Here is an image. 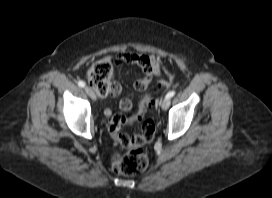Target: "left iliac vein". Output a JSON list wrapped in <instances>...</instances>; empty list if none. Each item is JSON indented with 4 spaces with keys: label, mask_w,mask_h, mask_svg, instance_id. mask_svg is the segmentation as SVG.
I'll list each match as a JSON object with an SVG mask.
<instances>
[{
    "label": "left iliac vein",
    "mask_w": 272,
    "mask_h": 198,
    "mask_svg": "<svg viewBox=\"0 0 272 198\" xmlns=\"http://www.w3.org/2000/svg\"><path fill=\"white\" fill-rule=\"evenodd\" d=\"M170 106V98H165L162 102H161V108L162 110H167Z\"/></svg>",
    "instance_id": "4c4485c4"
}]
</instances>
